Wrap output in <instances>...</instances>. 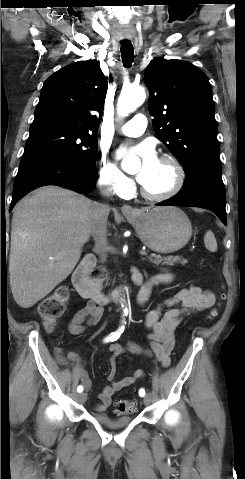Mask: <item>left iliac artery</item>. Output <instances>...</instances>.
<instances>
[{"instance_id": "obj_1", "label": "left iliac artery", "mask_w": 245, "mask_h": 479, "mask_svg": "<svg viewBox=\"0 0 245 479\" xmlns=\"http://www.w3.org/2000/svg\"><path fill=\"white\" fill-rule=\"evenodd\" d=\"M139 395H140L141 397L145 396V390L141 388V389L139 390Z\"/></svg>"}]
</instances>
